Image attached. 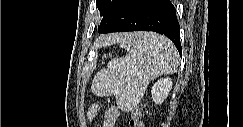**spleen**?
<instances>
[{"label":"spleen","instance_id":"3e777b00","mask_svg":"<svg viewBox=\"0 0 243 127\" xmlns=\"http://www.w3.org/2000/svg\"><path fill=\"white\" fill-rule=\"evenodd\" d=\"M126 56L112 59L96 74L92 92L97 96L114 95L119 108L131 109L140 102L149 82L178 67V54L172 42L159 34L134 33L123 39Z\"/></svg>","mask_w":243,"mask_h":127}]
</instances>
